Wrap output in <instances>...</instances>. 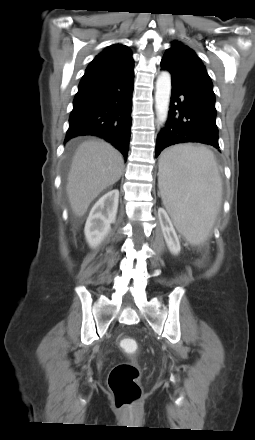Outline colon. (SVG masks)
Masks as SVG:
<instances>
[{
	"mask_svg": "<svg viewBox=\"0 0 255 440\" xmlns=\"http://www.w3.org/2000/svg\"><path fill=\"white\" fill-rule=\"evenodd\" d=\"M120 348L128 353L138 349L136 341L129 337L119 340ZM140 370L133 363L115 365L109 374L108 385L111 390L115 406L118 408L131 406L141 397Z\"/></svg>",
	"mask_w": 255,
	"mask_h": 440,
	"instance_id": "1",
	"label": "colon"
}]
</instances>
